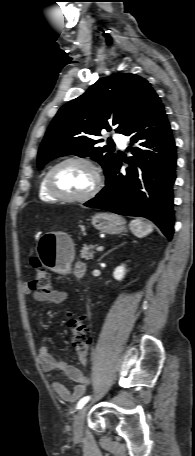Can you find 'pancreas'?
<instances>
[{"label": "pancreas", "instance_id": "1", "mask_svg": "<svg viewBox=\"0 0 195 456\" xmlns=\"http://www.w3.org/2000/svg\"><path fill=\"white\" fill-rule=\"evenodd\" d=\"M94 246H87L84 245V247L81 250V258H84L85 260H91L94 258V251L92 250Z\"/></svg>", "mask_w": 195, "mask_h": 456}]
</instances>
